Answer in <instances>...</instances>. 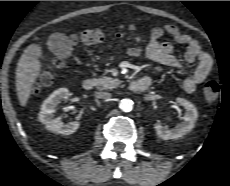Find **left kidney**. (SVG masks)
Wrapping results in <instances>:
<instances>
[{
  "label": "left kidney",
  "mask_w": 230,
  "mask_h": 186,
  "mask_svg": "<svg viewBox=\"0 0 230 186\" xmlns=\"http://www.w3.org/2000/svg\"><path fill=\"white\" fill-rule=\"evenodd\" d=\"M176 103L183 106L186 110L182 123L172 129H166L160 123L154 125L157 135L163 140L178 139L190 132L194 128L198 118L197 109L191 102L183 98H177Z\"/></svg>",
  "instance_id": "1"
}]
</instances>
